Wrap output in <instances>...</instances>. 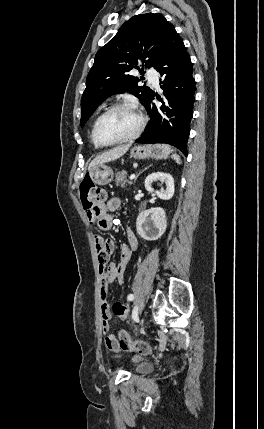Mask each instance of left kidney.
Here are the masks:
<instances>
[{"mask_svg": "<svg viewBox=\"0 0 264 429\" xmlns=\"http://www.w3.org/2000/svg\"><path fill=\"white\" fill-rule=\"evenodd\" d=\"M160 180L165 183L166 189L154 191L153 182ZM145 188L149 192H155L162 200H169L174 195V179L170 174L164 172H153L145 179ZM167 220L163 208H150L142 211L136 220L138 234L145 240L154 241L160 238L166 230Z\"/></svg>", "mask_w": 264, "mask_h": 429, "instance_id": "1", "label": "left kidney"}]
</instances>
